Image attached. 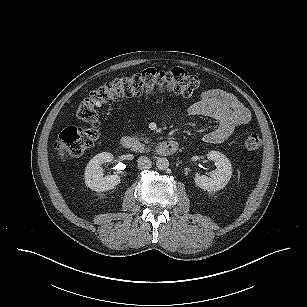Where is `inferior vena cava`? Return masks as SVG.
Instances as JSON below:
<instances>
[{
  "instance_id": "inferior-vena-cava-1",
  "label": "inferior vena cava",
  "mask_w": 307,
  "mask_h": 307,
  "mask_svg": "<svg viewBox=\"0 0 307 307\" xmlns=\"http://www.w3.org/2000/svg\"><path fill=\"white\" fill-rule=\"evenodd\" d=\"M137 162L138 168L141 170L150 169L152 167V161L146 156L139 157Z\"/></svg>"
}]
</instances>
